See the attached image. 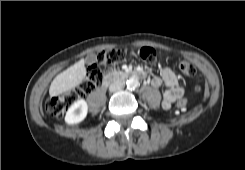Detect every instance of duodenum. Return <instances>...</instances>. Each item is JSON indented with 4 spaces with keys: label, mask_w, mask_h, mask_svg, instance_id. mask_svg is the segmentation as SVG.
<instances>
[{
    "label": "duodenum",
    "mask_w": 245,
    "mask_h": 170,
    "mask_svg": "<svg viewBox=\"0 0 245 170\" xmlns=\"http://www.w3.org/2000/svg\"><path fill=\"white\" fill-rule=\"evenodd\" d=\"M141 76H142V73L140 71L108 73L103 79V86H107L111 82L122 80V79H127L129 77L140 78Z\"/></svg>",
    "instance_id": "410a0bca"
}]
</instances>
